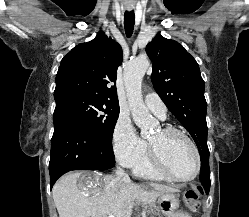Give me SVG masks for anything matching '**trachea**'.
Listing matches in <instances>:
<instances>
[{
  "label": "trachea",
  "mask_w": 249,
  "mask_h": 217,
  "mask_svg": "<svg viewBox=\"0 0 249 217\" xmlns=\"http://www.w3.org/2000/svg\"><path fill=\"white\" fill-rule=\"evenodd\" d=\"M135 15L134 11H126L124 14V27L127 37H131L134 30Z\"/></svg>",
  "instance_id": "3493384b"
}]
</instances>
